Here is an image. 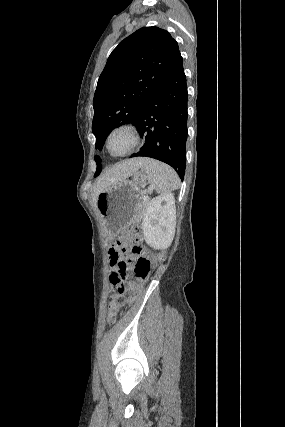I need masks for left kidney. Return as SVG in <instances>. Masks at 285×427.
<instances>
[{
  "label": "left kidney",
  "mask_w": 285,
  "mask_h": 427,
  "mask_svg": "<svg viewBox=\"0 0 285 427\" xmlns=\"http://www.w3.org/2000/svg\"><path fill=\"white\" fill-rule=\"evenodd\" d=\"M176 207L173 194L153 198L146 207L142 228L146 243L155 250L168 248L175 234Z\"/></svg>",
  "instance_id": "5707ae66"
}]
</instances>
